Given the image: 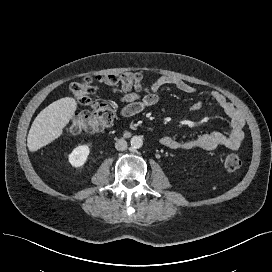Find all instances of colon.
Returning <instances> with one entry per match:
<instances>
[{"mask_svg": "<svg viewBox=\"0 0 272 272\" xmlns=\"http://www.w3.org/2000/svg\"><path fill=\"white\" fill-rule=\"evenodd\" d=\"M96 83H102L113 90L128 91L132 89H146V79L138 73L110 74L99 77H84L79 82L70 85L73 98L90 107L89 111L74 115L69 123L68 130L73 134L95 132L110 127L115 119L113 108L102 101L94 100L97 92ZM242 165L239 156L230 154L225 159V167L230 171L238 170Z\"/></svg>", "mask_w": 272, "mask_h": 272, "instance_id": "colon-1", "label": "colon"}]
</instances>
